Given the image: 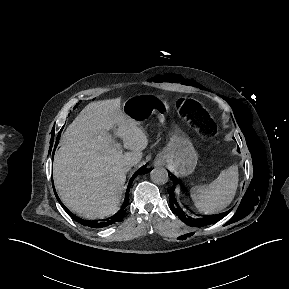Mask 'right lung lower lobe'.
I'll list each match as a JSON object with an SVG mask.
<instances>
[{"label":"right lung lower lobe","instance_id":"obj_1","mask_svg":"<svg viewBox=\"0 0 289 289\" xmlns=\"http://www.w3.org/2000/svg\"><path fill=\"white\" fill-rule=\"evenodd\" d=\"M58 142H56V145H57ZM148 172V170H145L143 168H140L133 176L132 178L130 179L129 181V185H128V188H127V191H126V194H125V200H124V204L122 205V207L120 208V210L115 214L113 215L112 217L110 218H107V219H103V220H93V221H88V220H83V219H80L78 217H76L74 214H72L62 203L61 201L59 200L57 194H56V197L58 198L59 202L62 204V207L64 208V210L72 217L74 218L77 222L81 223L82 225L84 226H89V227H92V228H102V227H107L109 225H112V224H115L117 222H121L124 218V215H125V208L126 206L128 205V200H129V190H130V187H131V184L133 182V180L135 179V177L137 175H140L142 173H146Z\"/></svg>","mask_w":289,"mask_h":289}]
</instances>
